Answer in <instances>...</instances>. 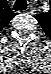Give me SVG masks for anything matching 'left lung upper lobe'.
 <instances>
[{"instance_id":"left-lung-upper-lobe-1","label":"left lung upper lobe","mask_w":51,"mask_h":74,"mask_svg":"<svg viewBox=\"0 0 51 74\" xmlns=\"http://www.w3.org/2000/svg\"><path fill=\"white\" fill-rule=\"evenodd\" d=\"M38 22L42 25L44 23L43 14H39L35 17Z\"/></svg>"}]
</instances>
